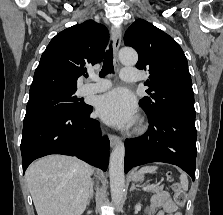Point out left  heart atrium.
<instances>
[{"instance_id":"39dd6f15","label":"left heart atrium","mask_w":223,"mask_h":215,"mask_svg":"<svg viewBox=\"0 0 223 215\" xmlns=\"http://www.w3.org/2000/svg\"><path fill=\"white\" fill-rule=\"evenodd\" d=\"M97 111L105 122L125 126L135 120L136 101L128 90L118 88L98 98Z\"/></svg>"}]
</instances>
